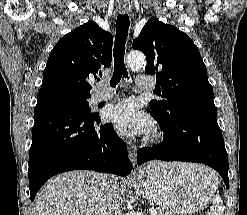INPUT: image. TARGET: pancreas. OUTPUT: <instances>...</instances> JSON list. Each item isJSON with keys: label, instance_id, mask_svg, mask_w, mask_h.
I'll list each match as a JSON object with an SVG mask.
<instances>
[{"label": "pancreas", "instance_id": "1", "mask_svg": "<svg viewBox=\"0 0 247 215\" xmlns=\"http://www.w3.org/2000/svg\"><path fill=\"white\" fill-rule=\"evenodd\" d=\"M157 215H171L169 212H167V211H164V210H159L158 212H157Z\"/></svg>", "mask_w": 247, "mask_h": 215}]
</instances>
